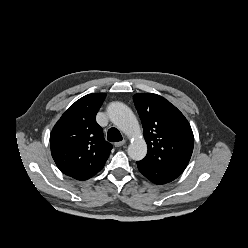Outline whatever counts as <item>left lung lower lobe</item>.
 <instances>
[{"label":"left lung lower lobe","instance_id":"0a47b994","mask_svg":"<svg viewBox=\"0 0 248 248\" xmlns=\"http://www.w3.org/2000/svg\"><path fill=\"white\" fill-rule=\"evenodd\" d=\"M137 167L141 174L155 184H165L175 180L181 173L161 168L144 160L137 161Z\"/></svg>","mask_w":248,"mask_h":248}]
</instances>
